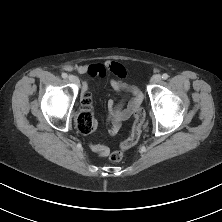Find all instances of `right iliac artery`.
Here are the masks:
<instances>
[{
  "label": "right iliac artery",
  "instance_id": "obj_1",
  "mask_svg": "<svg viewBox=\"0 0 222 222\" xmlns=\"http://www.w3.org/2000/svg\"><path fill=\"white\" fill-rule=\"evenodd\" d=\"M62 77L67 78L68 77L67 73H62Z\"/></svg>",
  "mask_w": 222,
  "mask_h": 222
}]
</instances>
